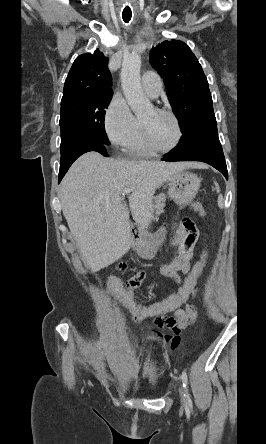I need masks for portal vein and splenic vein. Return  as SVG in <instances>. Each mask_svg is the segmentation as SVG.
<instances>
[{"mask_svg":"<svg viewBox=\"0 0 266 444\" xmlns=\"http://www.w3.org/2000/svg\"><path fill=\"white\" fill-rule=\"evenodd\" d=\"M131 190L129 188H125L123 189V195H128L130 194Z\"/></svg>","mask_w":266,"mask_h":444,"instance_id":"obj_1","label":"portal vein and splenic vein"}]
</instances>
